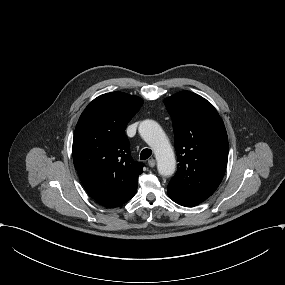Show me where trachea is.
<instances>
[{"label":"trachea","mask_w":285,"mask_h":285,"mask_svg":"<svg viewBox=\"0 0 285 285\" xmlns=\"http://www.w3.org/2000/svg\"><path fill=\"white\" fill-rule=\"evenodd\" d=\"M152 154V151L150 149H144L142 150L141 154H140V159L141 160H146L148 159Z\"/></svg>","instance_id":"3493384b"}]
</instances>
